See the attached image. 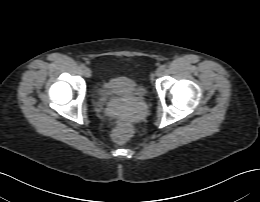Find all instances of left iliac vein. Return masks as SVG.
Masks as SVG:
<instances>
[{"label":"left iliac vein","instance_id":"left-iliac-vein-1","mask_svg":"<svg viewBox=\"0 0 260 202\" xmlns=\"http://www.w3.org/2000/svg\"><path fill=\"white\" fill-rule=\"evenodd\" d=\"M162 74H163V70H162V68L160 67V68H158V69L156 70L155 75H156V77H161Z\"/></svg>","mask_w":260,"mask_h":202}]
</instances>
